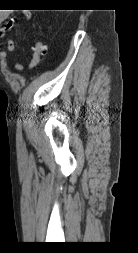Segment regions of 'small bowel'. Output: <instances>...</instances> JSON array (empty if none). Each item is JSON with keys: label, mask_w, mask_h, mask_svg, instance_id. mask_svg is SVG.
<instances>
[{"label": "small bowel", "mask_w": 138, "mask_h": 253, "mask_svg": "<svg viewBox=\"0 0 138 253\" xmlns=\"http://www.w3.org/2000/svg\"><path fill=\"white\" fill-rule=\"evenodd\" d=\"M21 15L23 17H25L26 19H30L31 18V14L30 13H21ZM6 14H2L0 15V24L2 23L3 19L5 18ZM16 23V18H10L9 20H7V22L5 23L4 26L0 27V39H4L5 40V51H2L0 53V57L2 59H6L7 53L8 52H12L15 49V44L14 42L7 37L8 32L14 27ZM23 66L22 64L19 62L16 64V69L17 70H22Z\"/></svg>", "instance_id": "obj_1"}]
</instances>
